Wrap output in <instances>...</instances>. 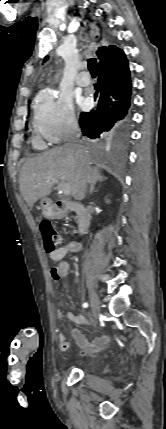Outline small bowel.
<instances>
[{
	"mask_svg": "<svg viewBox=\"0 0 166 429\" xmlns=\"http://www.w3.org/2000/svg\"><path fill=\"white\" fill-rule=\"evenodd\" d=\"M82 246L78 242H69L68 244L59 247L55 251L49 253L51 260L58 262V265L51 269L52 279L58 283L59 281H64L67 283L68 277L70 274V264L66 261V257L69 254L77 253L81 250ZM57 318L61 319L64 316V312L60 309L56 311ZM67 317L74 323L79 325L88 324V319L77 313L67 312ZM71 336L74 339L75 343L80 347V354L82 356L91 355L100 351H103L107 348L110 343V339L107 336H99L89 341L86 336L79 331L78 329L72 328ZM59 346L61 350L68 351L71 348L70 343L67 341L63 333H59Z\"/></svg>",
	"mask_w": 166,
	"mask_h": 429,
	"instance_id": "c3829d8e",
	"label": "small bowel"
}]
</instances>
